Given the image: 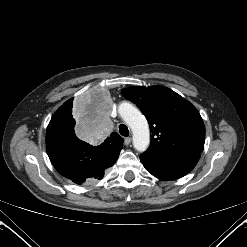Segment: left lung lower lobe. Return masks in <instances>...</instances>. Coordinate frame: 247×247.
<instances>
[{"label": "left lung lower lobe", "mask_w": 247, "mask_h": 247, "mask_svg": "<svg viewBox=\"0 0 247 247\" xmlns=\"http://www.w3.org/2000/svg\"><path fill=\"white\" fill-rule=\"evenodd\" d=\"M200 158L198 153L167 155L146 151L140 156L145 169L155 177L171 181L188 174Z\"/></svg>", "instance_id": "obj_1"}]
</instances>
